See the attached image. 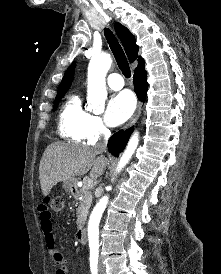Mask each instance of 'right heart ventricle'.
Returning a JSON list of instances; mask_svg holds the SVG:
<instances>
[{
	"label": "right heart ventricle",
	"mask_w": 221,
	"mask_h": 274,
	"mask_svg": "<svg viewBox=\"0 0 221 274\" xmlns=\"http://www.w3.org/2000/svg\"><path fill=\"white\" fill-rule=\"evenodd\" d=\"M90 114L82 107L78 95H70L61 107L58 119L59 134L62 138L82 143L86 139V125Z\"/></svg>",
	"instance_id": "right-heart-ventricle-1"
}]
</instances>
